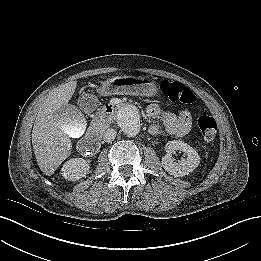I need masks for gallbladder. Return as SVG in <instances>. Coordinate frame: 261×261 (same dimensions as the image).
I'll return each mask as SVG.
<instances>
[{"label": "gallbladder", "mask_w": 261, "mask_h": 261, "mask_svg": "<svg viewBox=\"0 0 261 261\" xmlns=\"http://www.w3.org/2000/svg\"><path fill=\"white\" fill-rule=\"evenodd\" d=\"M62 131L72 139L80 138L87 128V120L73 104L64 105L59 112Z\"/></svg>", "instance_id": "bac80fb5"}]
</instances>
